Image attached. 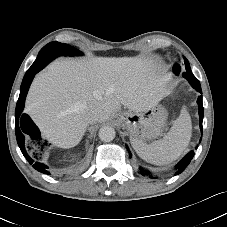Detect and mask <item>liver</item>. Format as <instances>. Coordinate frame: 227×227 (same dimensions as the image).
Instances as JSON below:
<instances>
[{"instance_id": "6515ba94", "label": "liver", "mask_w": 227, "mask_h": 227, "mask_svg": "<svg viewBox=\"0 0 227 227\" xmlns=\"http://www.w3.org/2000/svg\"><path fill=\"white\" fill-rule=\"evenodd\" d=\"M170 74L153 59L96 57L52 62L32 82L26 112L53 145L76 146L97 110L95 122L107 121L121 105L145 112L170 93Z\"/></svg>"}]
</instances>
